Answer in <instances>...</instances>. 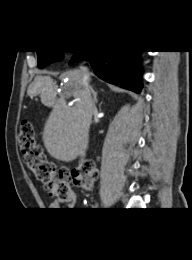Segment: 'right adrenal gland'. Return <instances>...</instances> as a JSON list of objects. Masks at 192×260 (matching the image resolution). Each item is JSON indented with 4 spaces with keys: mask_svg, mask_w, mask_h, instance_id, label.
<instances>
[{
    "mask_svg": "<svg viewBox=\"0 0 192 260\" xmlns=\"http://www.w3.org/2000/svg\"><path fill=\"white\" fill-rule=\"evenodd\" d=\"M90 90L93 94V98H94V103L96 104L98 102V99H97V91H95L92 87H90Z\"/></svg>",
    "mask_w": 192,
    "mask_h": 260,
    "instance_id": "1",
    "label": "right adrenal gland"
}]
</instances>
